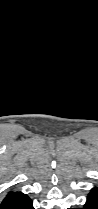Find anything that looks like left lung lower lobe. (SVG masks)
I'll return each mask as SVG.
<instances>
[{"label":"left lung lower lobe","instance_id":"left-lung-lower-lobe-1","mask_svg":"<svg viewBox=\"0 0 98 209\" xmlns=\"http://www.w3.org/2000/svg\"><path fill=\"white\" fill-rule=\"evenodd\" d=\"M82 209H98V188L94 187L91 189Z\"/></svg>","mask_w":98,"mask_h":209}]
</instances>
